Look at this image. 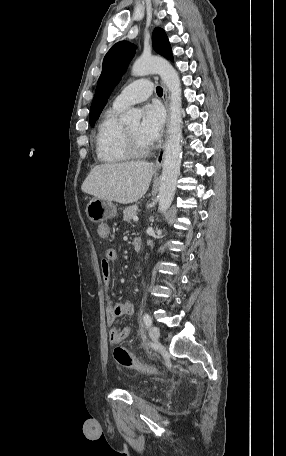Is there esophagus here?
<instances>
[{"mask_svg":"<svg viewBox=\"0 0 286 456\" xmlns=\"http://www.w3.org/2000/svg\"><path fill=\"white\" fill-rule=\"evenodd\" d=\"M163 101H164V104H165V107L167 109V127L169 126V116H170V109H169V103H168V95H167V89L166 87L164 86L163 87ZM165 147H166V143H164L161 147V149L159 150V153H158V156H157V159H156V163H155V167L156 169H160L161 166H162V163H163V160H164V157H165Z\"/></svg>","mask_w":286,"mask_h":456,"instance_id":"1","label":"esophagus"}]
</instances>
